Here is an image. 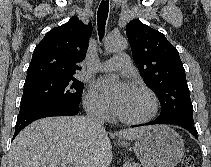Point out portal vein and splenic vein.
<instances>
[{"label": "portal vein and splenic vein", "mask_w": 211, "mask_h": 167, "mask_svg": "<svg viewBox=\"0 0 211 167\" xmlns=\"http://www.w3.org/2000/svg\"><path fill=\"white\" fill-rule=\"evenodd\" d=\"M61 165H62V167H68L67 163H65V162H63Z\"/></svg>", "instance_id": "obj_1"}]
</instances>
